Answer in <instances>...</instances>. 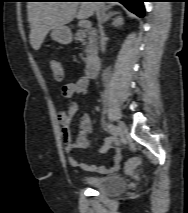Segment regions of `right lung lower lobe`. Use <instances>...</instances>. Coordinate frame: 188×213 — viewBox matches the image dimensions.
<instances>
[{
  "instance_id": "98d812e1",
  "label": "right lung lower lobe",
  "mask_w": 188,
  "mask_h": 213,
  "mask_svg": "<svg viewBox=\"0 0 188 213\" xmlns=\"http://www.w3.org/2000/svg\"><path fill=\"white\" fill-rule=\"evenodd\" d=\"M97 1H116L122 3L131 12L135 13L139 17L144 16V6L143 2L145 0H97Z\"/></svg>"
}]
</instances>
